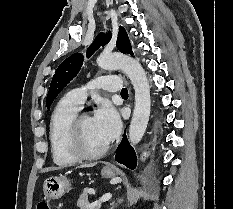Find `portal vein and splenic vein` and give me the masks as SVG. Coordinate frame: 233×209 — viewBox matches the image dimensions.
Segmentation results:
<instances>
[{
	"mask_svg": "<svg viewBox=\"0 0 233 209\" xmlns=\"http://www.w3.org/2000/svg\"><path fill=\"white\" fill-rule=\"evenodd\" d=\"M110 198H111V195H110V194H109V195H105V196L99 198V202H106V201H109Z\"/></svg>",
	"mask_w": 233,
	"mask_h": 209,
	"instance_id": "obj_1",
	"label": "portal vein and splenic vein"
}]
</instances>
